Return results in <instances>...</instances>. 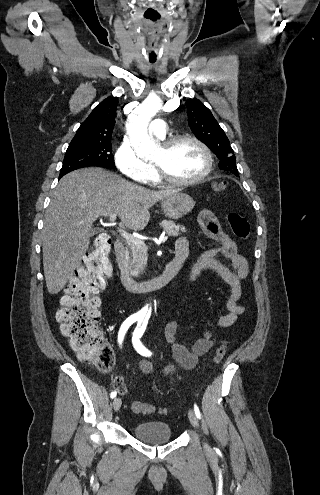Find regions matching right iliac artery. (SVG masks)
Returning a JSON list of instances; mask_svg holds the SVG:
<instances>
[{
  "instance_id": "right-iliac-artery-1",
  "label": "right iliac artery",
  "mask_w": 320,
  "mask_h": 495,
  "mask_svg": "<svg viewBox=\"0 0 320 495\" xmlns=\"http://www.w3.org/2000/svg\"><path fill=\"white\" fill-rule=\"evenodd\" d=\"M140 318H141V317H140V315H138V314H133V315L129 316V317H128V318H127V319H126V320L122 323V325H121V327H120V330H119V332H118V343H119V345H121V344H122V341H123V339H124V336H125V334H126V332H127L128 328H129V327H130V326H131L134 322H136V321L140 320ZM116 395H117V392H116V391H113V392H111L110 397H111V398H114V397H116Z\"/></svg>"
}]
</instances>
